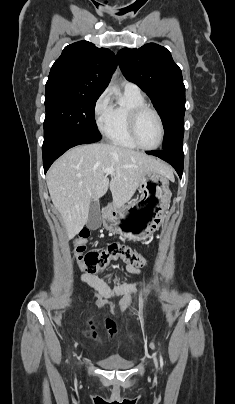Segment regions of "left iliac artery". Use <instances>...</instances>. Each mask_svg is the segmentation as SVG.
<instances>
[{
    "label": "left iliac artery",
    "instance_id": "left-iliac-artery-1",
    "mask_svg": "<svg viewBox=\"0 0 235 404\" xmlns=\"http://www.w3.org/2000/svg\"><path fill=\"white\" fill-rule=\"evenodd\" d=\"M160 365H161V367H163V358H162V356L160 355Z\"/></svg>",
    "mask_w": 235,
    "mask_h": 404
}]
</instances>
